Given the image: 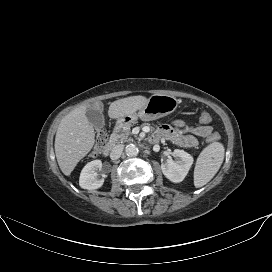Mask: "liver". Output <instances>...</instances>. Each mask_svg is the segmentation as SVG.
Listing matches in <instances>:
<instances>
[{
	"mask_svg": "<svg viewBox=\"0 0 272 272\" xmlns=\"http://www.w3.org/2000/svg\"><path fill=\"white\" fill-rule=\"evenodd\" d=\"M147 98L130 96L112 102L109 106L110 118H121L145 106ZM101 108L100 103L80 106L67 114L60 122L55 137V154L61 171L69 176L78 162L84 158L95 143L93 125L86 117L87 108Z\"/></svg>",
	"mask_w": 272,
	"mask_h": 272,
	"instance_id": "liver-1",
	"label": "liver"
}]
</instances>
